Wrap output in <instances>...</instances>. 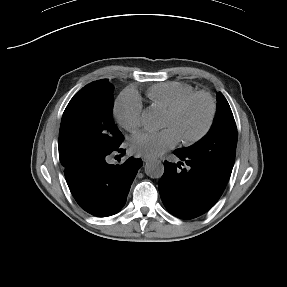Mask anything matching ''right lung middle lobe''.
Returning a JSON list of instances; mask_svg holds the SVG:
<instances>
[{
	"instance_id": "dd1d6c3e",
	"label": "right lung middle lobe",
	"mask_w": 287,
	"mask_h": 287,
	"mask_svg": "<svg viewBox=\"0 0 287 287\" xmlns=\"http://www.w3.org/2000/svg\"><path fill=\"white\" fill-rule=\"evenodd\" d=\"M113 90L108 79L97 80L84 86L67 105L58 142L65 170L122 143L123 135L112 118Z\"/></svg>"
}]
</instances>
